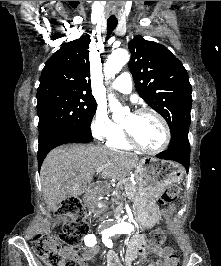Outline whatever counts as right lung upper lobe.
I'll use <instances>...</instances> for the list:
<instances>
[{"mask_svg":"<svg viewBox=\"0 0 221 266\" xmlns=\"http://www.w3.org/2000/svg\"><path fill=\"white\" fill-rule=\"evenodd\" d=\"M89 35L64 44L45 63L38 90L66 89L92 95Z\"/></svg>","mask_w":221,"mask_h":266,"instance_id":"cb5924a9","label":"right lung upper lobe"}]
</instances>
